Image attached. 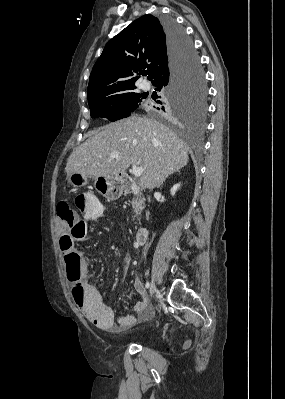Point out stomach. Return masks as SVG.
I'll list each match as a JSON object with an SVG mask.
<instances>
[{
  "label": "stomach",
  "mask_w": 285,
  "mask_h": 399,
  "mask_svg": "<svg viewBox=\"0 0 285 399\" xmlns=\"http://www.w3.org/2000/svg\"><path fill=\"white\" fill-rule=\"evenodd\" d=\"M95 189L109 200L118 199L124 191V180L120 176L94 178ZM67 181L73 187H83L87 184V177L79 172H73L67 176Z\"/></svg>",
  "instance_id": "obj_1"
}]
</instances>
